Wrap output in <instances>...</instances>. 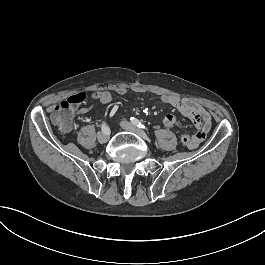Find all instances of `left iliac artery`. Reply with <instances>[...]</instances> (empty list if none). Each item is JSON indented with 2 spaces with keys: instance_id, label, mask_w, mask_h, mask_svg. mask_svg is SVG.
<instances>
[{
  "instance_id": "44dca946",
  "label": "left iliac artery",
  "mask_w": 265,
  "mask_h": 265,
  "mask_svg": "<svg viewBox=\"0 0 265 265\" xmlns=\"http://www.w3.org/2000/svg\"><path fill=\"white\" fill-rule=\"evenodd\" d=\"M130 120L137 127L148 130L147 127L143 123H141L138 119L131 117Z\"/></svg>"
}]
</instances>
